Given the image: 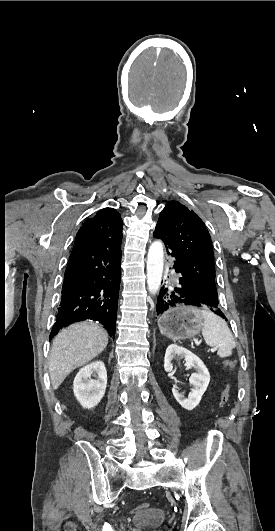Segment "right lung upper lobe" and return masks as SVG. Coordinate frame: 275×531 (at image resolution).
Returning <instances> with one entry per match:
<instances>
[{
  "label": "right lung upper lobe",
  "mask_w": 275,
  "mask_h": 531,
  "mask_svg": "<svg viewBox=\"0 0 275 531\" xmlns=\"http://www.w3.org/2000/svg\"><path fill=\"white\" fill-rule=\"evenodd\" d=\"M123 222L120 214L113 208L99 210L79 229L74 247L77 248L103 238L122 239Z\"/></svg>",
  "instance_id": "1"
}]
</instances>
